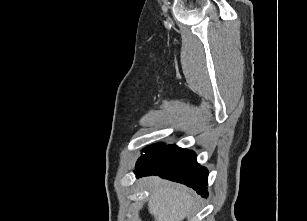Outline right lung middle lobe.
Wrapping results in <instances>:
<instances>
[{
  "mask_svg": "<svg viewBox=\"0 0 307 221\" xmlns=\"http://www.w3.org/2000/svg\"><path fill=\"white\" fill-rule=\"evenodd\" d=\"M161 145H164V144H156V145H152V146H150V147H148V148L144 149V151H147V150L153 149V148H155V147H159V146H161Z\"/></svg>",
  "mask_w": 307,
  "mask_h": 221,
  "instance_id": "1",
  "label": "right lung middle lobe"
}]
</instances>
